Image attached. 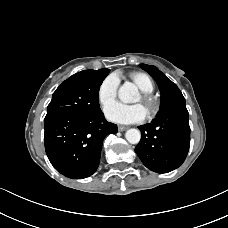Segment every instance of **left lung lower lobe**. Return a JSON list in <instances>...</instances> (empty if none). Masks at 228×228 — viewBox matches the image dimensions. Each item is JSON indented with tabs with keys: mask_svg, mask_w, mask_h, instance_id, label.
I'll use <instances>...</instances> for the list:
<instances>
[{
	"mask_svg": "<svg viewBox=\"0 0 228 228\" xmlns=\"http://www.w3.org/2000/svg\"><path fill=\"white\" fill-rule=\"evenodd\" d=\"M138 128L141 141L135 152L147 168L157 173H167L182 165L190 146L185 101L173 104L150 124Z\"/></svg>",
	"mask_w": 228,
	"mask_h": 228,
	"instance_id": "left-lung-lower-lobe-1",
	"label": "left lung lower lobe"
}]
</instances>
